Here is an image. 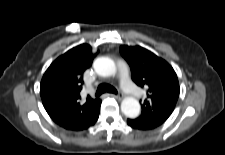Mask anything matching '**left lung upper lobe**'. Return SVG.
<instances>
[{"label":"left lung upper lobe","instance_id":"1","mask_svg":"<svg viewBox=\"0 0 225 155\" xmlns=\"http://www.w3.org/2000/svg\"><path fill=\"white\" fill-rule=\"evenodd\" d=\"M120 52L128 62L133 81L147 88L139 122L164 123L179 97V82L174 69L162 58L140 46L122 45Z\"/></svg>","mask_w":225,"mask_h":155}]
</instances>
